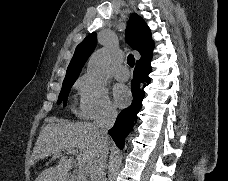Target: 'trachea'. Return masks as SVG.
Here are the masks:
<instances>
[{"instance_id": "3493384b", "label": "trachea", "mask_w": 228, "mask_h": 181, "mask_svg": "<svg viewBox=\"0 0 228 181\" xmlns=\"http://www.w3.org/2000/svg\"><path fill=\"white\" fill-rule=\"evenodd\" d=\"M127 63L130 67H133L135 64V58L132 54L128 55Z\"/></svg>"}]
</instances>
